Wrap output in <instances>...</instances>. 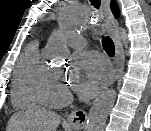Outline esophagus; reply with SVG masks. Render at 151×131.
Returning <instances> with one entry per match:
<instances>
[{
	"label": "esophagus",
	"instance_id": "esophagus-1",
	"mask_svg": "<svg viewBox=\"0 0 151 131\" xmlns=\"http://www.w3.org/2000/svg\"><path fill=\"white\" fill-rule=\"evenodd\" d=\"M102 13L106 22V30L116 44V58L113 82L116 81L124 68L125 54L118 33L114 30L115 19L110 9V0H101ZM87 115L82 110H74L67 116V121L77 129H83Z\"/></svg>",
	"mask_w": 151,
	"mask_h": 131
}]
</instances>
